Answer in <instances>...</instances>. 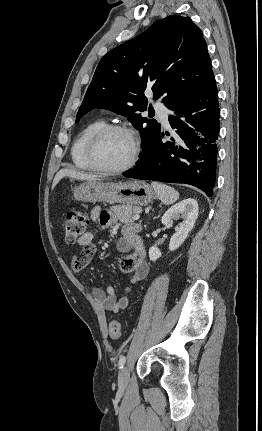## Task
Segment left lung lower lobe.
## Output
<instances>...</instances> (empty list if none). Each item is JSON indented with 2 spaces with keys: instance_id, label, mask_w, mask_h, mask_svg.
<instances>
[{
  "instance_id": "1",
  "label": "left lung lower lobe",
  "mask_w": 262,
  "mask_h": 431,
  "mask_svg": "<svg viewBox=\"0 0 262 431\" xmlns=\"http://www.w3.org/2000/svg\"><path fill=\"white\" fill-rule=\"evenodd\" d=\"M168 117L173 136L158 133L126 177L195 186L213 195L216 180L219 104L216 81L185 100ZM169 136V133H167Z\"/></svg>"
}]
</instances>
